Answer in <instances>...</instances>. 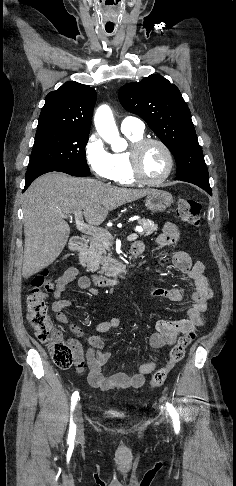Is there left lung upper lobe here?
Instances as JSON below:
<instances>
[{
	"instance_id": "left-lung-upper-lobe-1",
	"label": "left lung upper lobe",
	"mask_w": 236,
	"mask_h": 486,
	"mask_svg": "<svg viewBox=\"0 0 236 486\" xmlns=\"http://www.w3.org/2000/svg\"><path fill=\"white\" fill-rule=\"evenodd\" d=\"M121 105L140 116L170 149L177 164V180L193 183L209 194L208 170L198 143L190 110L179 89L153 74L119 91Z\"/></svg>"
}]
</instances>
